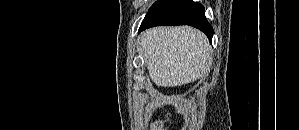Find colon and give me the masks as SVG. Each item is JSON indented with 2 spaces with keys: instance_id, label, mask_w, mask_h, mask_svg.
Returning a JSON list of instances; mask_svg holds the SVG:
<instances>
[{
  "instance_id": "obj_1",
  "label": "colon",
  "mask_w": 299,
  "mask_h": 130,
  "mask_svg": "<svg viewBox=\"0 0 299 130\" xmlns=\"http://www.w3.org/2000/svg\"><path fill=\"white\" fill-rule=\"evenodd\" d=\"M156 128L157 130H161V123H157Z\"/></svg>"
}]
</instances>
